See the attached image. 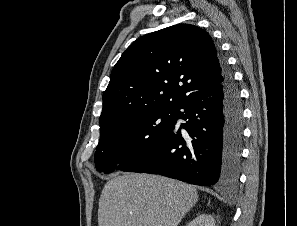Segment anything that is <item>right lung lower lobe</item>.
<instances>
[{
    "instance_id": "1",
    "label": "right lung lower lobe",
    "mask_w": 297,
    "mask_h": 226,
    "mask_svg": "<svg viewBox=\"0 0 297 226\" xmlns=\"http://www.w3.org/2000/svg\"><path fill=\"white\" fill-rule=\"evenodd\" d=\"M222 82L198 92L180 106L174 126L123 171L167 176L200 186L235 185L239 178L243 140V105L226 61Z\"/></svg>"
}]
</instances>
